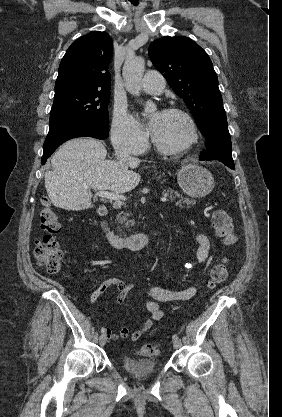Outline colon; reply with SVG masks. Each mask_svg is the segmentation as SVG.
<instances>
[{"instance_id":"colon-1","label":"colon","mask_w":282,"mask_h":417,"mask_svg":"<svg viewBox=\"0 0 282 417\" xmlns=\"http://www.w3.org/2000/svg\"><path fill=\"white\" fill-rule=\"evenodd\" d=\"M40 225L42 236L38 242L35 259L39 266L45 268L49 273H58L63 265V257L60 245L56 241V235L60 233L62 225L53 209L49 199L42 197L41 208L39 210ZM210 222L220 238L227 245H234L237 237L233 231L232 220L228 212L224 209H216L210 214ZM228 275L227 260L215 264L210 272L208 287L214 288L221 284ZM158 351V345L146 344L139 347V356H154Z\"/></svg>"}]
</instances>
